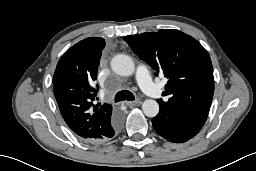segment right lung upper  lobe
<instances>
[{"mask_svg": "<svg viewBox=\"0 0 256 171\" xmlns=\"http://www.w3.org/2000/svg\"><path fill=\"white\" fill-rule=\"evenodd\" d=\"M105 47V40L89 37L68 49L57 63L53 89L57 104L68 127L88 142L109 138L110 123L116 113L111 104L96 103L94 86Z\"/></svg>", "mask_w": 256, "mask_h": 171, "instance_id": "cb5924a9", "label": "right lung upper lobe"}]
</instances>
